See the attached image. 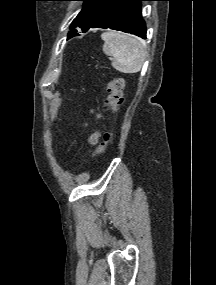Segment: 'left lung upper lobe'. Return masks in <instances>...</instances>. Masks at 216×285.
Returning <instances> with one entry per match:
<instances>
[{"label": "left lung upper lobe", "mask_w": 216, "mask_h": 285, "mask_svg": "<svg viewBox=\"0 0 216 285\" xmlns=\"http://www.w3.org/2000/svg\"><path fill=\"white\" fill-rule=\"evenodd\" d=\"M83 1L82 10L79 12L77 17L73 20L70 28V33L77 32V27L81 30L89 27L94 20L103 13L107 8H109L117 0H79Z\"/></svg>", "instance_id": "1"}]
</instances>
